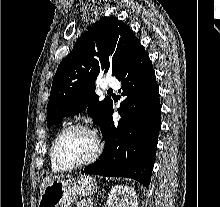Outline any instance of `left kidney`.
<instances>
[{
	"label": "left kidney",
	"instance_id": "left-kidney-1",
	"mask_svg": "<svg viewBox=\"0 0 220 207\" xmlns=\"http://www.w3.org/2000/svg\"><path fill=\"white\" fill-rule=\"evenodd\" d=\"M108 207H138V196L129 186H114L107 198Z\"/></svg>",
	"mask_w": 220,
	"mask_h": 207
}]
</instances>
